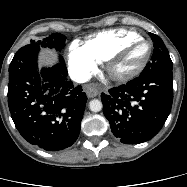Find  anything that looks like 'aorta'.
I'll use <instances>...</instances> for the list:
<instances>
[{"instance_id": "1", "label": "aorta", "mask_w": 187, "mask_h": 187, "mask_svg": "<svg viewBox=\"0 0 187 187\" xmlns=\"http://www.w3.org/2000/svg\"><path fill=\"white\" fill-rule=\"evenodd\" d=\"M102 102L98 99H93L89 102V108L92 112H99L102 110Z\"/></svg>"}]
</instances>
